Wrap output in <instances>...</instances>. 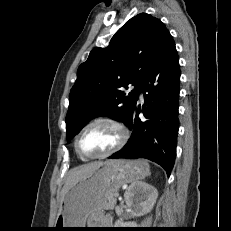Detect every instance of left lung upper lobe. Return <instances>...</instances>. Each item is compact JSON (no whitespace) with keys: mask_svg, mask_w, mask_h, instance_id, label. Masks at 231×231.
I'll return each mask as SVG.
<instances>
[{"mask_svg":"<svg viewBox=\"0 0 231 231\" xmlns=\"http://www.w3.org/2000/svg\"><path fill=\"white\" fill-rule=\"evenodd\" d=\"M169 31L164 23L141 13L128 20L106 48H94L77 71L66 115L68 139L92 118L108 116L126 123L136 106L141 79ZM135 88L127 93L125 89Z\"/></svg>","mask_w":231,"mask_h":231,"instance_id":"obj_1","label":"left lung upper lobe"}]
</instances>
